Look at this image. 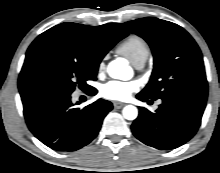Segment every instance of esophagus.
Here are the masks:
<instances>
[{"instance_id": "1", "label": "esophagus", "mask_w": 220, "mask_h": 173, "mask_svg": "<svg viewBox=\"0 0 220 173\" xmlns=\"http://www.w3.org/2000/svg\"><path fill=\"white\" fill-rule=\"evenodd\" d=\"M124 105H125V104L122 103V102H118V101L113 102V106H114L115 109H120V108H122Z\"/></svg>"}]
</instances>
